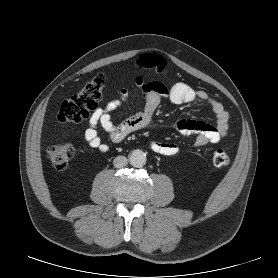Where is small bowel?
<instances>
[{"instance_id":"obj_1","label":"small bowel","mask_w":278,"mask_h":278,"mask_svg":"<svg viewBox=\"0 0 278 278\" xmlns=\"http://www.w3.org/2000/svg\"><path fill=\"white\" fill-rule=\"evenodd\" d=\"M133 88L144 100L143 110L115 124L112 121L111 113L122 106L129 97V89L123 88L119 91L116 99L109 101L102 107H97L88 120V126L84 132L87 144L100 152H107L109 147L105 144L99 134L98 127L103 128L114 143L124 140L130 133L142 129L150 124L154 112L164 99L175 104L192 103L196 101L208 104L215 116V125L203 121L181 120L175 124L176 131L181 135H195L194 144L203 146L206 144H217L225 137L229 130V114L224 106L210 97L203 90H195L186 83L178 82L168 87L162 82H145L137 77ZM153 152L174 156L179 153V146L174 143L153 140L150 142Z\"/></svg>"}]
</instances>
